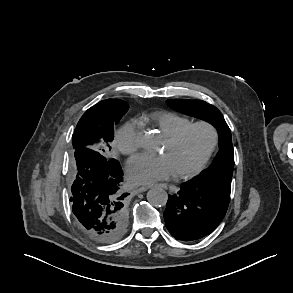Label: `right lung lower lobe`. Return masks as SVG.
Instances as JSON below:
<instances>
[{
    "instance_id": "1",
    "label": "right lung lower lobe",
    "mask_w": 293,
    "mask_h": 293,
    "mask_svg": "<svg viewBox=\"0 0 293 293\" xmlns=\"http://www.w3.org/2000/svg\"><path fill=\"white\" fill-rule=\"evenodd\" d=\"M72 210L83 232L94 241L112 243L126 232L122 171L117 160L81 147L74 151Z\"/></svg>"
}]
</instances>
